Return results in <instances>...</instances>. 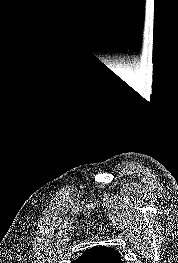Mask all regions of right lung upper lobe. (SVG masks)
I'll return each mask as SVG.
<instances>
[{
  "label": "right lung upper lobe",
  "mask_w": 178,
  "mask_h": 263,
  "mask_svg": "<svg viewBox=\"0 0 178 263\" xmlns=\"http://www.w3.org/2000/svg\"><path fill=\"white\" fill-rule=\"evenodd\" d=\"M121 259V254L117 250L111 247L98 246L87 249L71 263H125Z\"/></svg>",
  "instance_id": "obj_1"
}]
</instances>
